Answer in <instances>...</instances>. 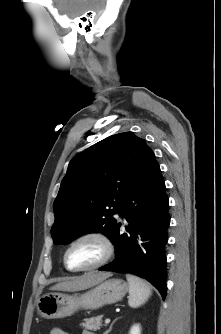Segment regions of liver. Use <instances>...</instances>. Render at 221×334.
I'll list each match as a JSON object with an SVG mask.
<instances>
[{"mask_svg": "<svg viewBox=\"0 0 221 334\" xmlns=\"http://www.w3.org/2000/svg\"><path fill=\"white\" fill-rule=\"evenodd\" d=\"M110 273L89 272L70 281H65L52 286L51 290L57 291H79L97 285L110 277Z\"/></svg>", "mask_w": 221, "mask_h": 334, "instance_id": "liver-1", "label": "liver"}]
</instances>
